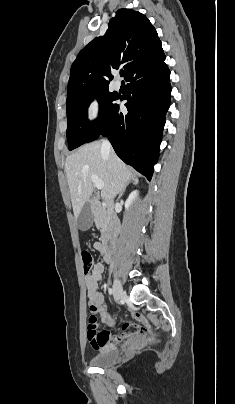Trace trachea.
Returning <instances> with one entry per match:
<instances>
[{"instance_id":"1","label":"trachea","mask_w":235,"mask_h":404,"mask_svg":"<svg viewBox=\"0 0 235 404\" xmlns=\"http://www.w3.org/2000/svg\"><path fill=\"white\" fill-rule=\"evenodd\" d=\"M120 76H121V77L123 76V72H120Z\"/></svg>"}]
</instances>
